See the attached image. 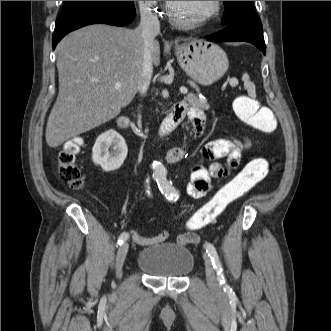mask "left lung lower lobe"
Masks as SVG:
<instances>
[{"mask_svg": "<svg viewBox=\"0 0 331 331\" xmlns=\"http://www.w3.org/2000/svg\"><path fill=\"white\" fill-rule=\"evenodd\" d=\"M206 39L209 41H245L255 45L264 55L266 52L260 19L226 26L222 31L206 37Z\"/></svg>", "mask_w": 331, "mask_h": 331, "instance_id": "left-lung-lower-lobe-1", "label": "left lung lower lobe"}]
</instances>
